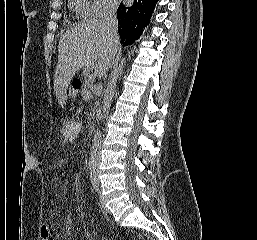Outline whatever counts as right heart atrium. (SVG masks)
<instances>
[{"label":"right heart atrium","instance_id":"d8ad5b80","mask_svg":"<svg viewBox=\"0 0 257 240\" xmlns=\"http://www.w3.org/2000/svg\"><path fill=\"white\" fill-rule=\"evenodd\" d=\"M116 8V0H92L88 11V16L93 18L104 17L112 14Z\"/></svg>","mask_w":257,"mask_h":240}]
</instances>
